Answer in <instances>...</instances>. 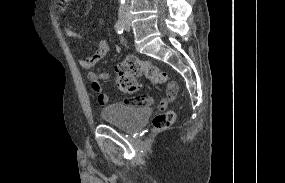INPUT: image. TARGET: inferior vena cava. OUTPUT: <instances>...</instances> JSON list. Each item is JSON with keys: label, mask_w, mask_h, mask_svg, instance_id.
Segmentation results:
<instances>
[{"label": "inferior vena cava", "mask_w": 285, "mask_h": 183, "mask_svg": "<svg viewBox=\"0 0 285 183\" xmlns=\"http://www.w3.org/2000/svg\"><path fill=\"white\" fill-rule=\"evenodd\" d=\"M129 11H130V7L128 4V1L124 4H120L119 6V16L121 17H127L129 16Z\"/></svg>", "instance_id": "1"}]
</instances>
